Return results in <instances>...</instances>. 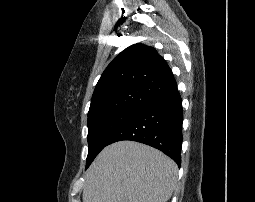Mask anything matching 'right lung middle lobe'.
<instances>
[{
    "label": "right lung middle lobe",
    "mask_w": 255,
    "mask_h": 202,
    "mask_svg": "<svg viewBox=\"0 0 255 202\" xmlns=\"http://www.w3.org/2000/svg\"><path fill=\"white\" fill-rule=\"evenodd\" d=\"M137 109H113L88 116V156L86 168L108 145L110 138L137 112Z\"/></svg>",
    "instance_id": "dd1d6c3e"
}]
</instances>
